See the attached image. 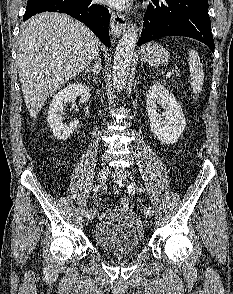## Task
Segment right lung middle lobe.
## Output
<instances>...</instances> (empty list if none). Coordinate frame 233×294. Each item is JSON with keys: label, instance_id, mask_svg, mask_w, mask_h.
<instances>
[{"label": "right lung middle lobe", "instance_id": "right-lung-middle-lobe-1", "mask_svg": "<svg viewBox=\"0 0 233 294\" xmlns=\"http://www.w3.org/2000/svg\"><path fill=\"white\" fill-rule=\"evenodd\" d=\"M34 1H36V0H28L27 4H30V3L34 2Z\"/></svg>", "mask_w": 233, "mask_h": 294}]
</instances>
